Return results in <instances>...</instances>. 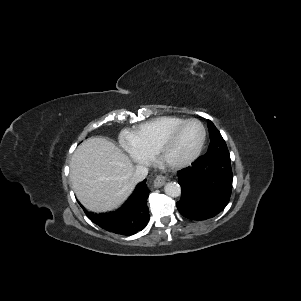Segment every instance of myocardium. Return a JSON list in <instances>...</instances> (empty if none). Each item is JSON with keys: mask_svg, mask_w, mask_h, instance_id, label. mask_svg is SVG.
Listing matches in <instances>:
<instances>
[{"mask_svg": "<svg viewBox=\"0 0 301 301\" xmlns=\"http://www.w3.org/2000/svg\"><path fill=\"white\" fill-rule=\"evenodd\" d=\"M191 122H195L198 123L201 127L202 130V136L200 139V142L197 146V148L195 149V151L187 158L183 159V160H179V161H172L169 160L167 157V151L168 148L170 146V144L172 143V141L175 139V137L177 136V134L179 133V131L188 123ZM205 140H206V128L204 126V124L196 119V118H190V119H186L183 122H181L180 124H178L176 127H174L173 129H171L169 132H167L159 141L157 148H156V156L158 161L165 167L167 168H171V169H178V168H183L185 166H188L189 164H191L194 160L197 159V157L200 155L204 144H205Z\"/></svg>", "mask_w": 301, "mask_h": 301, "instance_id": "obj_1", "label": "myocardium"}]
</instances>
